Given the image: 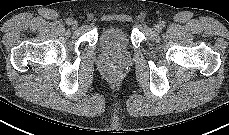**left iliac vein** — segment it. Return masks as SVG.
Returning <instances> with one entry per match:
<instances>
[{"instance_id": "1", "label": "left iliac vein", "mask_w": 229, "mask_h": 135, "mask_svg": "<svg viewBox=\"0 0 229 135\" xmlns=\"http://www.w3.org/2000/svg\"><path fill=\"white\" fill-rule=\"evenodd\" d=\"M161 24L160 23H156L155 25H154V29H155V31H157V32H159L160 30H161Z\"/></svg>"}]
</instances>
